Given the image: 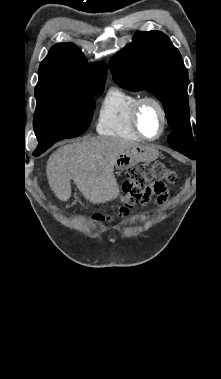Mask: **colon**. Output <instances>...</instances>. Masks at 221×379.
Segmentation results:
<instances>
[{
    "label": "colon",
    "mask_w": 221,
    "mask_h": 379,
    "mask_svg": "<svg viewBox=\"0 0 221 379\" xmlns=\"http://www.w3.org/2000/svg\"><path fill=\"white\" fill-rule=\"evenodd\" d=\"M177 181L176 172L160 162L144 163L131 168L123 183V194L117 207V216L125 217L129 211L146 196L161 195L166 192V183ZM97 221H110L112 216L94 214Z\"/></svg>",
    "instance_id": "obj_1"
}]
</instances>
